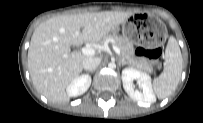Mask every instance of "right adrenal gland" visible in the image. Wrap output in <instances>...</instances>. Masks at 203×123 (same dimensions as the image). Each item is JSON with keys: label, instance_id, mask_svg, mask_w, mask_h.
<instances>
[{"label": "right adrenal gland", "instance_id": "right-adrenal-gland-1", "mask_svg": "<svg viewBox=\"0 0 203 123\" xmlns=\"http://www.w3.org/2000/svg\"><path fill=\"white\" fill-rule=\"evenodd\" d=\"M87 72L93 73V72H94V70H91V71H87Z\"/></svg>", "mask_w": 203, "mask_h": 123}]
</instances>
